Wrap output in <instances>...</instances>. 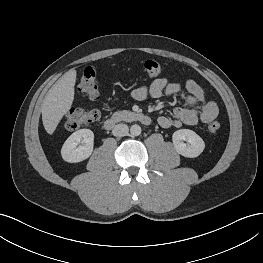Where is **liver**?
Returning a JSON list of instances; mask_svg holds the SVG:
<instances>
[{
	"instance_id": "liver-1",
	"label": "liver",
	"mask_w": 263,
	"mask_h": 263,
	"mask_svg": "<svg viewBox=\"0 0 263 263\" xmlns=\"http://www.w3.org/2000/svg\"><path fill=\"white\" fill-rule=\"evenodd\" d=\"M76 70L67 71L48 91L42 103V121L46 132L54 133L63 116L72 106Z\"/></svg>"
}]
</instances>
